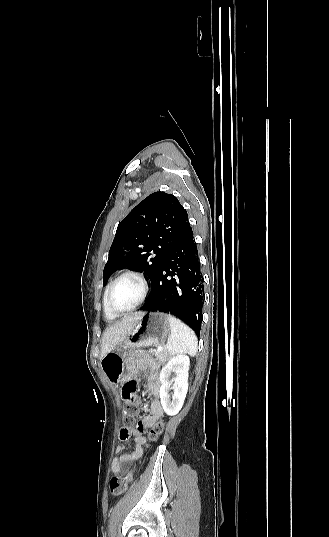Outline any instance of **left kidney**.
Segmentation results:
<instances>
[{
	"mask_svg": "<svg viewBox=\"0 0 329 537\" xmlns=\"http://www.w3.org/2000/svg\"><path fill=\"white\" fill-rule=\"evenodd\" d=\"M190 360L187 355H177L170 358L160 373L161 387L159 396L164 412L174 416L181 410L188 390V370ZM175 376L170 380L171 373ZM173 383V387L170 385ZM173 389L172 400L169 391Z\"/></svg>",
	"mask_w": 329,
	"mask_h": 537,
	"instance_id": "5707ae66",
	"label": "left kidney"
}]
</instances>
